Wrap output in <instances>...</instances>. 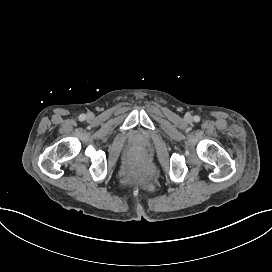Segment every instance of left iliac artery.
<instances>
[{
    "instance_id": "44dca946",
    "label": "left iliac artery",
    "mask_w": 272,
    "mask_h": 272,
    "mask_svg": "<svg viewBox=\"0 0 272 272\" xmlns=\"http://www.w3.org/2000/svg\"><path fill=\"white\" fill-rule=\"evenodd\" d=\"M194 121L195 122H199L200 121V117L199 116H194Z\"/></svg>"
}]
</instances>
